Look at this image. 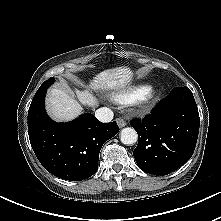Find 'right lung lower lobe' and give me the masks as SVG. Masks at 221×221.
<instances>
[{"mask_svg": "<svg viewBox=\"0 0 221 221\" xmlns=\"http://www.w3.org/2000/svg\"><path fill=\"white\" fill-rule=\"evenodd\" d=\"M46 89L38 90L28 111V134L42 166L54 176L81 181L98 169L104 142L119 131L115 121L101 123L86 113L74 121L56 123L45 112Z\"/></svg>", "mask_w": 221, "mask_h": 221, "instance_id": "1", "label": "right lung lower lobe"}]
</instances>
